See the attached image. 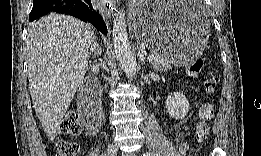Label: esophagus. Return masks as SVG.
<instances>
[{"label": "esophagus", "instance_id": "obj_1", "mask_svg": "<svg viewBox=\"0 0 261 156\" xmlns=\"http://www.w3.org/2000/svg\"><path fill=\"white\" fill-rule=\"evenodd\" d=\"M115 11H116L115 5L111 4L109 5V8H106L105 11L103 12H105L106 16L111 17L113 15H116Z\"/></svg>", "mask_w": 261, "mask_h": 156}]
</instances>
